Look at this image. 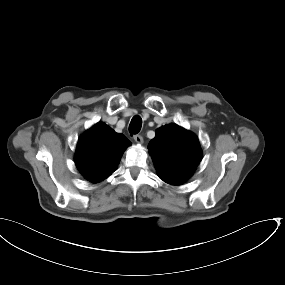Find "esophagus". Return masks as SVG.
<instances>
[{
	"mask_svg": "<svg viewBox=\"0 0 285 285\" xmlns=\"http://www.w3.org/2000/svg\"><path fill=\"white\" fill-rule=\"evenodd\" d=\"M133 139L138 144H142L143 143V137L141 135L136 134V135L133 136Z\"/></svg>",
	"mask_w": 285,
	"mask_h": 285,
	"instance_id": "obj_1",
	"label": "esophagus"
}]
</instances>
